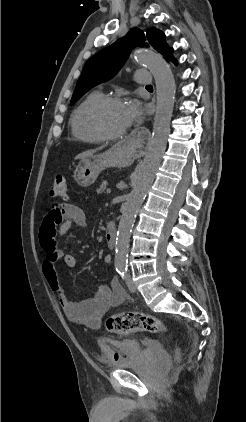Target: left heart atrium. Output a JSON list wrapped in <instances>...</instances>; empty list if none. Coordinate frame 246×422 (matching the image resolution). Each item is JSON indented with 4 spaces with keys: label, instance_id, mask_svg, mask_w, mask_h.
Returning a JSON list of instances; mask_svg holds the SVG:
<instances>
[{
    "label": "left heart atrium",
    "instance_id": "39dd6f15",
    "mask_svg": "<svg viewBox=\"0 0 246 422\" xmlns=\"http://www.w3.org/2000/svg\"><path fill=\"white\" fill-rule=\"evenodd\" d=\"M127 125L130 126L141 117V109L137 101L130 100L124 104Z\"/></svg>",
    "mask_w": 246,
    "mask_h": 422
}]
</instances>
